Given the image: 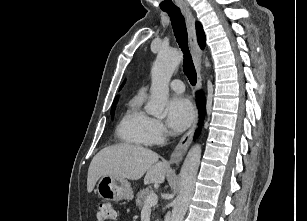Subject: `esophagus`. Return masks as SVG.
<instances>
[{"instance_id":"1","label":"esophagus","mask_w":307,"mask_h":221,"mask_svg":"<svg viewBox=\"0 0 307 221\" xmlns=\"http://www.w3.org/2000/svg\"><path fill=\"white\" fill-rule=\"evenodd\" d=\"M182 11L185 14L186 21H187V29H188V37L189 43L191 46L193 62L195 65L196 73H197V85L196 90L198 91L202 86V74H201V50L199 48L196 36V29H195V17L189 8L188 5H184L182 7ZM198 126V111H196L194 121L190 127V129L182 136L176 147L174 148L171 156H170V163L175 164L182 160L184 157L191 140L193 138L194 132Z\"/></svg>"}]
</instances>
